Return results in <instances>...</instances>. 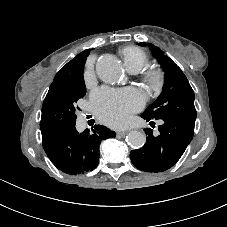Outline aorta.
Instances as JSON below:
<instances>
[{
	"mask_svg": "<svg viewBox=\"0 0 227 227\" xmlns=\"http://www.w3.org/2000/svg\"><path fill=\"white\" fill-rule=\"evenodd\" d=\"M96 73L105 83H116L122 74V67L118 58L113 54H104L96 62ZM128 145L132 148H141L146 142L144 133L132 130L126 136Z\"/></svg>",
	"mask_w": 227,
	"mask_h": 227,
	"instance_id": "762f6f07",
	"label": "aorta"
}]
</instances>
